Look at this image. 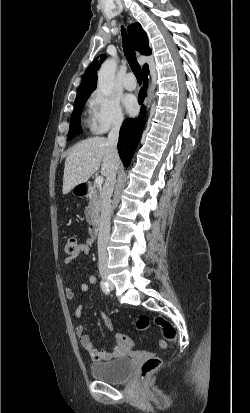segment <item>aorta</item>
<instances>
[{"mask_svg": "<svg viewBox=\"0 0 250 413\" xmlns=\"http://www.w3.org/2000/svg\"><path fill=\"white\" fill-rule=\"evenodd\" d=\"M116 62L113 59L106 60L98 72V88L104 95H110L115 83ZM151 99V90L148 93Z\"/></svg>", "mask_w": 250, "mask_h": 413, "instance_id": "762f6f07", "label": "aorta"}]
</instances>
